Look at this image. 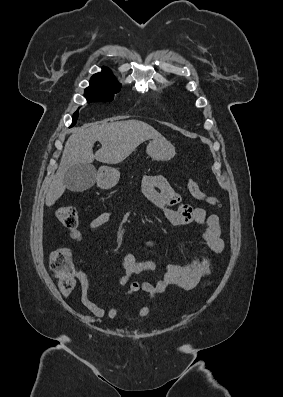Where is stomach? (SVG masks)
Returning <instances> with one entry per match:
<instances>
[{
	"label": "stomach",
	"instance_id": "1",
	"mask_svg": "<svg viewBox=\"0 0 283 397\" xmlns=\"http://www.w3.org/2000/svg\"><path fill=\"white\" fill-rule=\"evenodd\" d=\"M147 154L157 161H168L175 155V148L166 139H154L147 146ZM119 179L118 171L115 168L102 166L96 172L97 185L102 189H110Z\"/></svg>",
	"mask_w": 283,
	"mask_h": 397
}]
</instances>
